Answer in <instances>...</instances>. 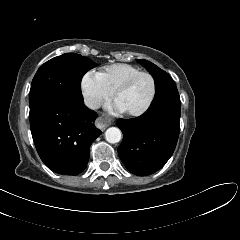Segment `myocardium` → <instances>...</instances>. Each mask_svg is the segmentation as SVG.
Wrapping results in <instances>:
<instances>
[{"label": "myocardium", "mask_w": 240, "mask_h": 240, "mask_svg": "<svg viewBox=\"0 0 240 240\" xmlns=\"http://www.w3.org/2000/svg\"><path fill=\"white\" fill-rule=\"evenodd\" d=\"M143 75L149 76L152 81V94H151L149 101L143 108L136 110V111H128V114L131 116H134V117L142 116L151 109V107L155 101L156 94H157V81H156L155 76L148 71H140V72L134 74L133 76H131L130 78H128L126 81H124L115 91V96H116V98H118L121 93H123L124 91L129 89L132 86V84L139 77H141Z\"/></svg>", "instance_id": "1"}]
</instances>
